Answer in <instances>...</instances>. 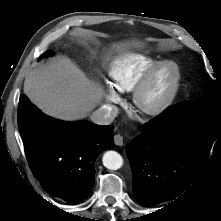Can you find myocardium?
Segmentation results:
<instances>
[{
  "mask_svg": "<svg viewBox=\"0 0 221 221\" xmlns=\"http://www.w3.org/2000/svg\"><path fill=\"white\" fill-rule=\"evenodd\" d=\"M170 68L173 73L172 83L168 92L155 102H148L146 97L150 91L156 75L163 68ZM181 85V69L180 66L173 60H162L156 62L143 79L134 89L133 101L137 108L148 115H159L167 110L174 102Z\"/></svg>",
  "mask_w": 221,
  "mask_h": 221,
  "instance_id": "myocardium-1",
  "label": "myocardium"
}]
</instances>
